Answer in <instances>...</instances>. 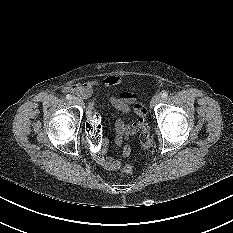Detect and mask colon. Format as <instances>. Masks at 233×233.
<instances>
[{
	"label": "colon",
	"instance_id": "1",
	"mask_svg": "<svg viewBox=\"0 0 233 233\" xmlns=\"http://www.w3.org/2000/svg\"><path fill=\"white\" fill-rule=\"evenodd\" d=\"M100 113L98 111H91L87 120L85 121V129L88 133V148L91 153H98L100 151V141H101V126L99 124L100 121ZM140 143L144 150L150 148L152 144V138L149 131V125L144 121L140 124ZM121 172L123 174H131L132 167L130 165H124L121 168Z\"/></svg>",
	"mask_w": 233,
	"mask_h": 233
}]
</instances>
